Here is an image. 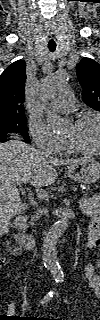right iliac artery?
<instances>
[{
    "label": "right iliac artery",
    "instance_id": "1",
    "mask_svg": "<svg viewBox=\"0 0 100 320\" xmlns=\"http://www.w3.org/2000/svg\"><path fill=\"white\" fill-rule=\"evenodd\" d=\"M57 283H58V281L56 282V284ZM54 293H55V288L48 292V294L41 301V304H44V303L48 302L49 300H51V298L53 297Z\"/></svg>",
    "mask_w": 100,
    "mask_h": 320
}]
</instances>
